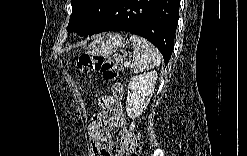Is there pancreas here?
Masks as SVG:
<instances>
[{"instance_id":"1","label":"pancreas","mask_w":247,"mask_h":156,"mask_svg":"<svg viewBox=\"0 0 247 156\" xmlns=\"http://www.w3.org/2000/svg\"><path fill=\"white\" fill-rule=\"evenodd\" d=\"M117 63H119V65L122 67V62H121V60L117 61Z\"/></svg>"}]
</instances>
